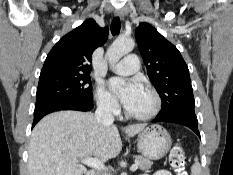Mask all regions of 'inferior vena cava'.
<instances>
[{
	"label": "inferior vena cava",
	"instance_id": "obj_1",
	"mask_svg": "<svg viewBox=\"0 0 233 175\" xmlns=\"http://www.w3.org/2000/svg\"><path fill=\"white\" fill-rule=\"evenodd\" d=\"M96 120L103 125H111L114 122V116L112 114V106L110 101H100L95 111ZM106 175V174H105Z\"/></svg>",
	"mask_w": 233,
	"mask_h": 175
}]
</instances>
